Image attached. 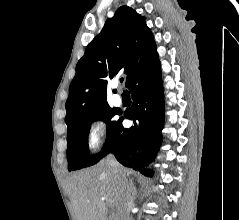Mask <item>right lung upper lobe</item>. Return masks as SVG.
<instances>
[{
    "mask_svg": "<svg viewBox=\"0 0 239 220\" xmlns=\"http://www.w3.org/2000/svg\"><path fill=\"white\" fill-rule=\"evenodd\" d=\"M157 62L154 37L144 17L128 6H121L89 43L76 65V75L65 104L67 126L70 127L81 116L108 105L109 79L124 72L128 87L134 77Z\"/></svg>",
    "mask_w": 239,
    "mask_h": 220,
    "instance_id": "1",
    "label": "right lung upper lobe"
}]
</instances>
